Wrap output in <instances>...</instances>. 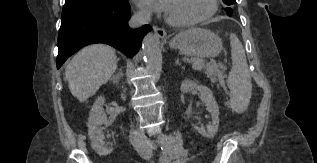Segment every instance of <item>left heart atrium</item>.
Wrapping results in <instances>:
<instances>
[{
    "mask_svg": "<svg viewBox=\"0 0 317 163\" xmlns=\"http://www.w3.org/2000/svg\"><path fill=\"white\" fill-rule=\"evenodd\" d=\"M138 3L150 10L165 13L168 8L169 0H137Z\"/></svg>",
    "mask_w": 317,
    "mask_h": 163,
    "instance_id": "obj_1",
    "label": "left heart atrium"
}]
</instances>
